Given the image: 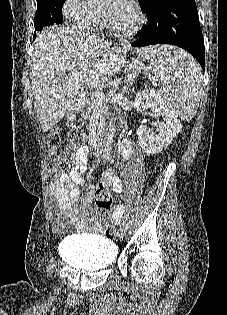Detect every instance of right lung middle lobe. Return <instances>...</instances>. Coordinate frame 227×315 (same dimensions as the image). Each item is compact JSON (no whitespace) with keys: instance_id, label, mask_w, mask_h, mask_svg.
<instances>
[{"instance_id":"obj_1","label":"right lung middle lobe","mask_w":227,"mask_h":315,"mask_svg":"<svg viewBox=\"0 0 227 315\" xmlns=\"http://www.w3.org/2000/svg\"><path fill=\"white\" fill-rule=\"evenodd\" d=\"M65 0H37L35 32L45 26L60 24L63 21L62 6Z\"/></svg>"}]
</instances>
